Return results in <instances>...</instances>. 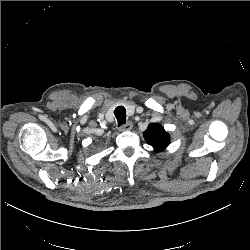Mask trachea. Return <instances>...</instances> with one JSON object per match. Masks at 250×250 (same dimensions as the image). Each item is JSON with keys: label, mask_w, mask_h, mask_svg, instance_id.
<instances>
[{"label": "trachea", "mask_w": 250, "mask_h": 250, "mask_svg": "<svg viewBox=\"0 0 250 250\" xmlns=\"http://www.w3.org/2000/svg\"><path fill=\"white\" fill-rule=\"evenodd\" d=\"M115 117L118 122V126L125 124L126 122V109L123 106H118L114 110Z\"/></svg>", "instance_id": "trachea-1"}]
</instances>
